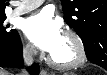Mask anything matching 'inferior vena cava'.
<instances>
[{
  "instance_id": "602c4592",
  "label": "inferior vena cava",
  "mask_w": 107,
  "mask_h": 75,
  "mask_svg": "<svg viewBox=\"0 0 107 75\" xmlns=\"http://www.w3.org/2000/svg\"><path fill=\"white\" fill-rule=\"evenodd\" d=\"M36 52V48L33 45H26L23 49V61L25 64V67L30 66L33 63V55ZM20 75H27L26 68L21 70Z\"/></svg>"
}]
</instances>
